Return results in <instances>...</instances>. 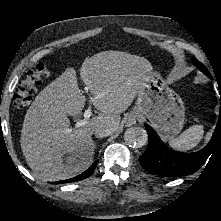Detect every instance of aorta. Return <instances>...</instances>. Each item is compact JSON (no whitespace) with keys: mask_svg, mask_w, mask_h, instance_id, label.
Here are the masks:
<instances>
[{"mask_svg":"<svg viewBox=\"0 0 221 221\" xmlns=\"http://www.w3.org/2000/svg\"><path fill=\"white\" fill-rule=\"evenodd\" d=\"M124 141L131 147H142L148 141L147 131L142 127H132L125 131Z\"/></svg>","mask_w":221,"mask_h":221,"instance_id":"aorta-1","label":"aorta"}]
</instances>
